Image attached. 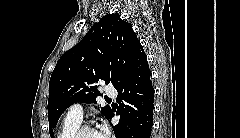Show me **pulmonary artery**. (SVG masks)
<instances>
[{"label":"pulmonary artery","mask_w":240,"mask_h":138,"mask_svg":"<svg viewBox=\"0 0 240 138\" xmlns=\"http://www.w3.org/2000/svg\"><path fill=\"white\" fill-rule=\"evenodd\" d=\"M106 95L109 97H116L117 96V91L114 87L112 86H108L105 89ZM68 116L78 119V120H82L83 118V108L81 106V104L79 103H75L73 105L70 106V108L68 109Z\"/></svg>","instance_id":"pulmonary-artery-1"}]
</instances>
